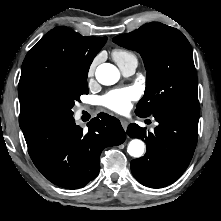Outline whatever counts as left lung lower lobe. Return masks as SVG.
<instances>
[{
    "mask_svg": "<svg viewBox=\"0 0 221 221\" xmlns=\"http://www.w3.org/2000/svg\"><path fill=\"white\" fill-rule=\"evenodd\" d=\"M151 115L159 123L153 133L136 124L128 126L131 138L147 144L145 155L131 161V171L141 184L161 188L175 182L188 167L197 144L199 117L163 109Z\"/></svg>",
    "mask_w": 221,
    "mask_h": 221,
    "instance_id": "obj_1",
    "label": "left lung lower lobe"
}]
</instances>
